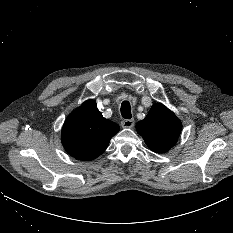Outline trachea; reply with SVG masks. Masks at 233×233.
Masks as SVG:
<instances>
[{"mask_svg": "<svg viewBox=\"0 0 233 233\" xmlns=\"http://www.w3.org/2000/svg\"><path fill=\"white\" fill-rule=\"evenodd\" d=\"M121 115L125 119H130L132 117L131 115V106L128 101H123L121 104Z\"/></svg>", "mask_w": 233, "mask_h": 233, "instance_id": "obj_1", "label": "trachea"}]
</instances>
